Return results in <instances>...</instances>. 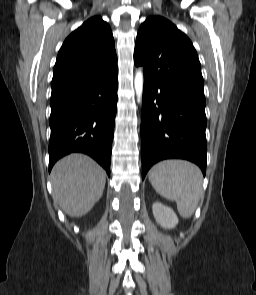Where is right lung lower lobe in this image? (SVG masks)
<instances>
[{
	"label": "right lung lower lobe",
	"mask_w": 256,
	"mask_h": 295,
	"mask_svg": "<svg viewBox=\"0 0 256 295\" xmlns=\"http://www.w3.org/2000/svg\"><path fill=\"white\" fill-rule=\"evenodd\" d=\"M117 71L108 69L52 88L49 171L71 152L94 158L110 175Z\"/></svg>",
	"instance_id": "98d812e1"
}]
</instances>
